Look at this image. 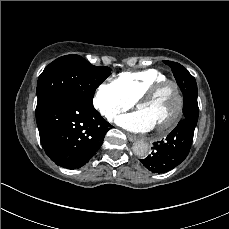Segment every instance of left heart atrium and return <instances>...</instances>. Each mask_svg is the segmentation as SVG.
I'll return each instance as SVG.
<instances>
[{
  "mask_svg": "<svg viewBox=\"0 0 229 229\" xmlns=\"http://www.w3.org/2000/svg\"><path fill=\"white\" fill-rule=\"evenodd\" d=\"M114 122L134 132H147L154 127L148 117L141 111L133 114L121 115L115 118Z\"/></svg>",
  "mask_w": 229,
  "mask_h": 229,
  "instance_id": "left-heart-atrium-1",
  "label": "left heart atrium"
}]
</instances>
